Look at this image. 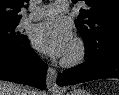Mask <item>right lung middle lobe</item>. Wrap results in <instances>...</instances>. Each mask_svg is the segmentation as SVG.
I'll use <instances>...</instances> for the list:
<instances>
[{"mask_svg":"<svg viewBox=\"0 0 119 95\" xmlns=\"http://www.w3.org/2000/svg\"><path fill=\"white\" fill-rule=\"evenodd\" d=\"M19 23L0 25V45L21 42L25 36L16 32Z\"/></svg>","mask_w":119,"mask_h":95,"instance_id":"obj_1","label":"right lung middle lobe"}]
</instances>
